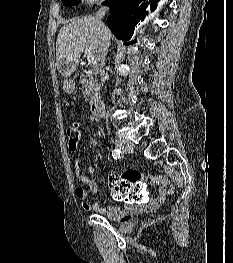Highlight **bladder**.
Instances as JSON below:
<instances>
[{"label": "bladder", "mask_w": 233, "mask_h": 263, "mask_svg": "<svg viewBox=\"0 0 233 263\" xmlns=\"http://www.w3.org/2000/svg\"><path fill=\"white\" fill-rule=\"evenodd\" d=\"M119 228L124 232L130 231L132 228V223L129 221H125L119 225Z\"/></svg>", "instance_id": "bladder-1"}]
</instances>
